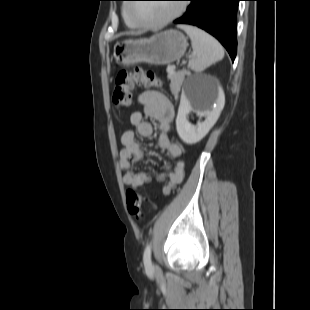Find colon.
<instances>
[{"label": "colon", "instance_id": "1", "mask_svg": "<svg viewBox=\"0 0 310 310\" xmlns=\"http://www.w3.org/2000/svg\"><path fill=\"white\" fill-rule=\"evenodd\" d=\"M135 85L158 86L159 81L151 70L137 67L132 71L121 70L115 77L112 102L117 108L130 105L131 94ZM127 209L132 217L140 220L143 216V199L140 193L130 188L126 191Z\"/></svg>", "mask_w": 310, "mask_h": 310}]
</instances>
